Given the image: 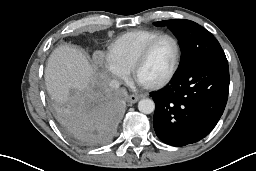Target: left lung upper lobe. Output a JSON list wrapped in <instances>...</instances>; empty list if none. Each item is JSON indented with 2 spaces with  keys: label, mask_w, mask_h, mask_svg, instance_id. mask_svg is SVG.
Listing matches in <instances>:
<instances>
[{
  "label": "left lung upper lobe",
  "mask_w": 256,
  "mask_h": 171,
  "mask_svg": "<svg viewBox=\"0 0 256 171\" xmlns=\"http://www.w3.org/2000/svg\"><path fill=\"white\" fill-rule=\"evenodd\" d=\"M155 26H167L177 37L181 48V71L197 62L225 59L217 39L205 28L190 20H165L154 22Z\"/></svg>",
  "instance_id": "left-lung-upper-lobe-1"
}]
</instances>
